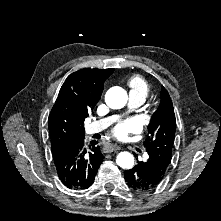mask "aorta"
Returning a JSON list of instances; mask_svg holds the SVG:
<instances>
[{"instance_id": "1", "label": "aorta", "mask_w": 221, "mask_h": 221, "mask_svg": "<svg viewBox=\"0 0 221 221\" xmlns=\"http://www.w3.org/2000/svg\"><path fill=\"white\" fill-rule=\"evenodd\" d=\"M128 100L127 92L118 86L110 88L105 95L106 104L112 109L123 108ZM117 165L123 169H130L134 165V157L129 152H120L116 158Z\"/></svg>"}]
</instances>
